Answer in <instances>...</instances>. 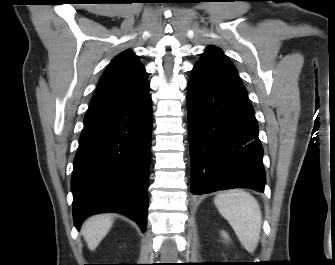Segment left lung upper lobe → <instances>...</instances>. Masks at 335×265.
Returning a JSON list of instances; mask_svg holds the SVG:
<instances>
[{"mask_svg": "<svg viewBox=\"0 0 335 265\" xmlns=\"http://www.w3.org/2000/svg\"><path fill=\"white\" fill-rule=\"evenodd\" d=\"M211 73L228 78L238 79V73L234 65L230 62L223 52L215 47L208 46L202 54L201 60L195 65Z\"/></svg>", "mask_w": 335, "mask_h": 265, "instance_id": "1", "label": "left lung upper lobe"}]
</instances>
